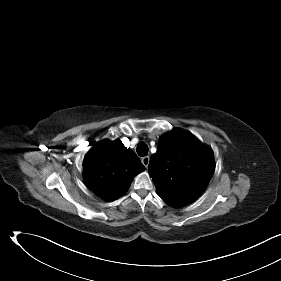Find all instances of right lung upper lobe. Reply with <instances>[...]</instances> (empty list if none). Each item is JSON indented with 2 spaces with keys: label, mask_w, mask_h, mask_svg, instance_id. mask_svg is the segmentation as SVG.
Masks as SVG:
<instances>
[{
  "label": "right lung upper lobe",
  "mask_w": 281,
  "mask_h": 281,
  "mask_svg": "<svg viewBox=\"0 0 281 281\" xmlns=\"http://www.w3.org/2000/svg\"><path fill=\"white\" fill-rule=\"evenodd\" d=\"M83 167L86 186L108 201L122 196L133 177L145 169L120 140L97 143L84 158Z\"/></svg>",
  "instance_id": "1"
}]
</instances>
